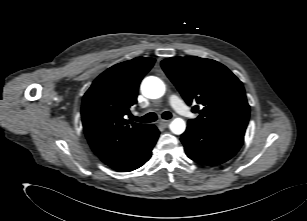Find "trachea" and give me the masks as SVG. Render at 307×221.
Listing matches in <instances>:
<instances>
[{
	"label": "trachea",
	"mask_w": 307,
	"mask_h": 221,
	"mask_svg": "<svg viewBox=\"0 0 307 221\" xmlns=\"http://www.w3.org/2000/svg\"><path fill=\"white\" fill-rule=\"evenodd\" d=\"M172 114L168 111L162 114L163 119H170ZM134 121L142 122V123H151L157 120V115L154 112L148 113L143 117H134Z\"/></svg>",
	"instance_id": "trachea-1"
}]
</instances>
